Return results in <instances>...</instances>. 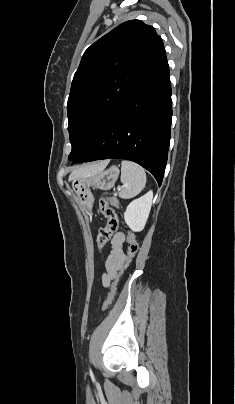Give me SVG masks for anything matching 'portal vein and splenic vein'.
<instances>
[{"label":"portal vein and splenic vein","instance_id":"portal-vein-and-splenic-vein-1","mask_svg":"<svg viewBox=\"0 0 235 404\" xmlns=\"http://www.w3.org/2000/svg\"><path fill=\"white\" fill-rule=\"evenodd\" d=\"M123 189V187H118V191H120V190H122Z\"/></svg>","mask_w":235,"mask_h":404}]
</instances>
